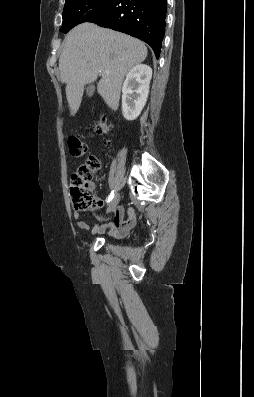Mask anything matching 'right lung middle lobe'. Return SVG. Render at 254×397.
I'll use <instances>...</instances> for the list:
<instances>
[{
  "instance_id": "obj_1",
  "label": "right lung middle lobe",
  "mask_w": 254,
  "mask_h": 397,
  "mask_svg": "<svg viewBox=\"0 0 254 397\" xmlns=\"http://www.w3.org/2000/svg\"><path fill=\"white\" fill-rule=\"evenodd\" d=\"M112 0H66L60 31L67 33L74 26L100 14Z\"/></svg>"
}]
</instances>
